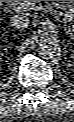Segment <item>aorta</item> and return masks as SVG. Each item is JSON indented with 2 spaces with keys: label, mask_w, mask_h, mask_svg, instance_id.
Wrapping results in <instances>:
<instances>
[{
  "label": "aorta",
  "mask_w": 74,
  "mask_h": 122,
  "mask_svg": "<svg viewBox=\"0 0 74 122\" xmlns=\"http://www.w3.org/2000/svg\"><path fill=\"white\" fill-rule=\"evenodd\" d=\"M38 52L42 58L51 59L60 53V48L55 38L45 35L38 41Z\"/></svg>",
  "instance_id": "obj_1"
}]
</instances>
